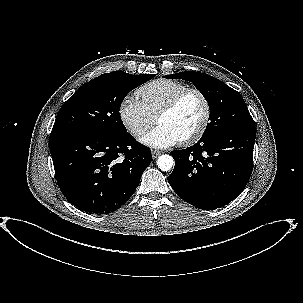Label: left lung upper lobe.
<instances>
[{"mask_svg": "<svg viewBox=\"0 0 303 303\" xmlns=\"http://www.w3.org/2000/svg\"><path fill=\"white\" fill-rule=\"evenodd\" d=\"M165 78L192 82L207 100L210 123L201 138L233 128L255 127L241 94L219 79L194 71L166 75Z\"/></svg>", "mask_w": 303, "mask_h": 303, "instance_id": "1", "label": "left lung upper lobe"}]
</instances>
